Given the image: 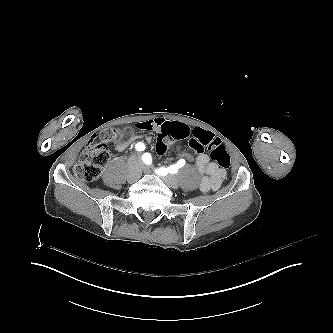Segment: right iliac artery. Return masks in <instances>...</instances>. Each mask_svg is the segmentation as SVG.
<instances>
[{
    "instance_id": "82829eb1",
    "label": "right iliac artery",
    "mask_w": 333,
    "mask_h": 333,
    "mask_svg": "<svg viewBox=\"0 0 333 333\" xmlns=\"http://www.w3.org/2000/svg\"><path fill=\"white\" fill-rule=\"evenodd\" d=\"M136 150L138 151H143L145 149V145L144 143H137L136 146H135ZM150 154V153H149Z\"/></svg>"
}]
</instances>
